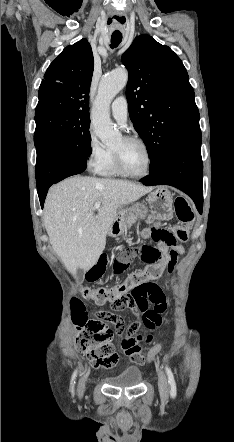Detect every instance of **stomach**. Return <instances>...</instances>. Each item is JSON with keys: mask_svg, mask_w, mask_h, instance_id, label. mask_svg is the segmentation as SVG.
I'll list each match as a JSON object with an SVG mask.
<instances>
[{"mask_svg": "<svg viewBox=\"0 0 234 442\" xmlns=\"http://www.w3.org/2000/svg\"><path fill=\"white\" fill-rule=\"evenodd\" d=\"M149 210L143 203H136L130 209L122 210L119 214V230L124 231L126 226V218L130 212H136L137 218H145L148 212L155 219L168 221L173 218V195L166 187H157L148 195ZM130 211V212H129Z\"/></svg>", "mask_w": 234, "mask_h": 442, "instance_id": "stomach-1", "label": "stomach"}]
</instances>
